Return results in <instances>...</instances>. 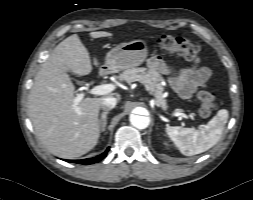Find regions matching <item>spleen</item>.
Wrapping results in <instances>:
<instances>
[{"instance_id": "spleen-1", "label": "spleen", "mask_w": 253, "mask_h": 200, "mask_svg": "<svg viewBox=\"0 0 253 200\" xmlns=\"http://www.w3.org/2000/svg\"><path fill=\"white\" fill-rule=\"evenodd\" d=\"M228 117V111L221 109L203 128L167 126L166 133L182 154L193 156L205 152L217 144Z\"/></svg>"}]
</instances>
